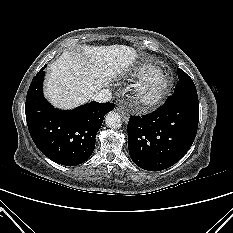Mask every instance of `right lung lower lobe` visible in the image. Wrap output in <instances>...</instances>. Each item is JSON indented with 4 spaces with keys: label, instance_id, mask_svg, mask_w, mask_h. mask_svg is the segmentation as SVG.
<instances>
[{
    "label": "right lung lower lobe",
    "instance_id": "obj_1",
    "mask_svg": "<svg viewBox=\"0 0 233 233\" xmlns=\"http://www.w3.org/2000/svg\"><path fill=\"white\" fill-rule=\"evenodd\" d=\"M44 66L28 89L25 109L30 135L39 150L56 163L85 162L95 148V137L113 103L90 102L73 110L54 108L43 96Z\"/></svg>",
    "mask_w": 233,
    "mask_h": 233
}]
</instances>
